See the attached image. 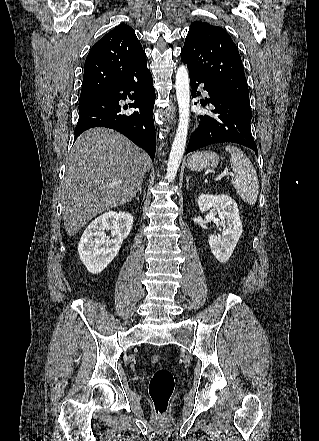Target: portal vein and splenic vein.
Masks as SVG:
<instances>
[{"mask_svg": "<svg viewBox=\"0 0 319 441\" xmlns=\"http://www.w3.org/2000/svg\"><path fill=\"white\" fill-rule=\"evenodd\" d=\"M229 175V176H234L233 173H228L227 170H225L224 172H222L221 174L218 175V177L216 178V181L220 180L222 177ZM117 183H121V181H117Z\"/></svg>", "mask_w": 319, "mask_h": 441, "instance_id": "18ae733b", "label": "portal vein and splenic vein"}]
</instances>
